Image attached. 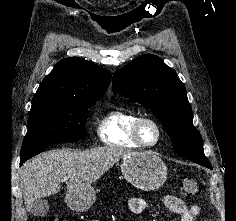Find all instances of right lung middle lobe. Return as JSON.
I'll return each mask as SVG.
<instances>
[{
  "label": "right lung middle lobe",
  "mask_w": 236,
  "mask_h": 221,
  "mask_svg": "<svg viewBox=\"0 0 236 221\" xmlns=\"http://www.w3.org/2000/svg\"><path fill=\"white\" fill-rule=\"evenodd\" d=\"M94 103L32 101L21 155L55 143L82 139L85 136L87 108Z\"/></svg>",
  "instance_id": "obj_1"
}]
</instances>
